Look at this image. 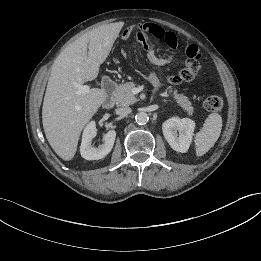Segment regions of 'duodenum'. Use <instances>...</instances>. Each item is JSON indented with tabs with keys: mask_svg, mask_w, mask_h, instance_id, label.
Returning <instances> with one entry per match:
<instances>
[{
	"mask_svg": "<svg viewBox=\"0 0 261 261\" xmlns=\"http://www.w3.org/2000/svg\"><path fill=\"white\" fill-rule=\"evenodd\" d=\"M116 88V83L109 76H105L102 81V89L105 93V100L103 106L105 108H111L114 105V91Z\"/></svg>",
	"mask_w": 261,
	"mask_h": 261,
	"instance_id": "1",
	"label": "duodenum"
}]
</instances>
